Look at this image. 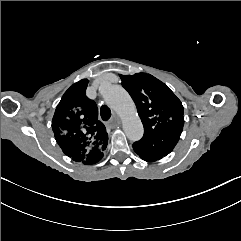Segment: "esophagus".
Returning <instances> with one entry per match:
<instances>
[{
    "mask_svg": "<svg viewBox=\"0 0 241 241\" xmlns=\"http://www.w3.org/2000/svg\"><path fill=\"white\" fill-rule=\"evenodd\" d=\"M113 120H114V121H113L112 123H110V126H111L112 128H114V127L116 126V124L119 123L116 114H113Z\"/></svg>",
    "mask_w": 241,
    "mask_h": 241,
    "instance_id": "1",
    "label": "esophagus"
}]
</instances>
